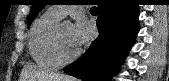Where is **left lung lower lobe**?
<instances>
[{"mask_svg": "<svg viewBox=\"0 0 169 81\" xmlns=\"http://www.w3.org/2000/svg\"><path fill=\"white\" fill-rule=\"evenodd\" d=\"M99 37L64 71L83 81H109L122 64L139 30L138 5L130 0L101 1Z\"/></svg>", "mask_w": 169, "mask_h": 81, "instance_id": "1", "label": "left lung lower lobe"}]
</instances>
